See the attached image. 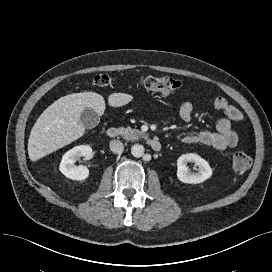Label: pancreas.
<instances>
[{
  "instance_id": "obj_1",
  "label": "pancreas",
  "mask_w": 272,
  "mask_h": 272,
  "mask_svg": "<svg viewBox=\"0 0 272 272\" xmlns=\"http://www.w3.org/2000/svg\"><path fill=\"white\" fill-rule=\"evenodd\" d=\"M119 133L124 139L131 141L138 140L140 137L143 136L141 131L137 129H132L131 127H121L119 128Z\"/></svg>"
}]
</instances>
